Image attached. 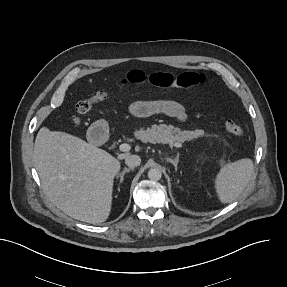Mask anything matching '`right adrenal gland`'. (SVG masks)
<instances>
[{
	"label": "right adrenal gland",
	"instance_id": "1",
	"mask_svg": "<svg viewBox=\"0 0 287 287\" xmlns=\"http://www.w3.org/2000/svg\"><path fill=\"white\" fill-rule=\"evenodd\" d=\"M131 170H134V168H124V170L122 171V173L118 174V178H120V181H119V185L123 182V179H124V175L125 173L131 171Z\"/></svg>",
	"mask_w": 287,
	"mask_h": 287
}]
</instances>
